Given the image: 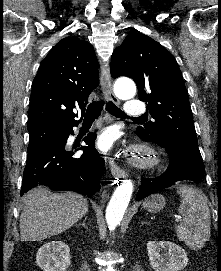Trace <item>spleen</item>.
Instances as JSON below:
<instances>
[{"label": "spleen", "mask_w": 221, "mask_h": 271, "mask_svg": "<svg viewBox=\"0 0 221 271\" xmlns=\"http://www.w3.org/2000/svg\"><path fill=\"white\" fill-rule=\"evenodd\" d=\"M178 193L182 197L178 207L182 219L175 227L177 237L190 249H201L210 239L211 219L207 199L194 187H180Z\"/></svg>", "instance_id": "1"}]
</instances>
